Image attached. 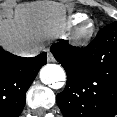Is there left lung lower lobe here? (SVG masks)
Segmentation results:
<instances>
[{
    "label": "left lung lower lobe",
    "mask_w": 117,
    "mask_h": 117,
    "mask_svg": "<svg viewBox=\"0 0 117 117\" xmlns=\"http://www.w3.org/2000/svg\"><path fill=\"white\" fill-rule=\"evenodd\" d=\"M67 73L57 94L64 117H114L117 114V22L101 29L79 50L64 41L51 47Z\"/></svg>",
    "instance_id": "left-lung-lower-lobe-1"
}]
</instances>
